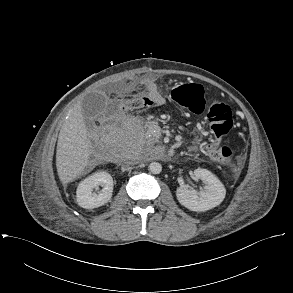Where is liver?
Instances as JSON below:
<instances>
[{
	"instance_id": "6515ba94",
	"label": "liver",
	"mask_w": 293,
	"mask_h": 293,
	"mask_svg": "<svg viewBox=\"0 0 293 293\" xmlns=\"http://www.w3.org/2000/svg\"><path fill=\"white\" fill-rule=\"evenodd\" d=\"M81 103L69 113L61 127L56 150V168L63 184L79 177L90 163V144Z\"/></svg>"
}]
</instances>
